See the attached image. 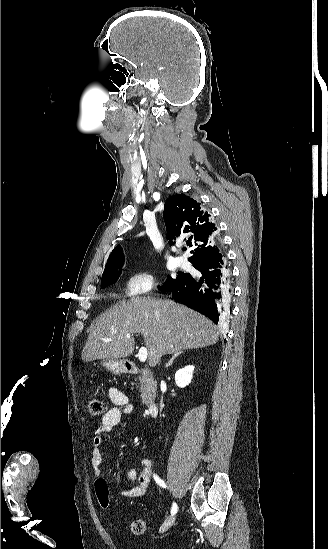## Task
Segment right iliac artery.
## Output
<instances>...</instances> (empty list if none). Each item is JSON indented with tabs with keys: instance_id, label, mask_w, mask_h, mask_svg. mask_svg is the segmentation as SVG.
<instances>
[{
	"instance_id": "82829eb1",
	"label": "right iliac artery",
	"mask_w": 328,
	"mask_h": 549,
	"mask_svg": "<svg viewBox=\"0 0 328 549\" xmlns=\"http://www.w3.org/2000/svg\"><path fill=\"white\" fill-rule=\"evenodd\" d=\"M154 479H155L156 483H158V484H159L160 486H162L163 488H166V484L164 483V481L161 480L157 475H154ZM177 509H178L177 504H176V503H173L172 509H171V514H172V515L176 514Z\"/></svg>"
}]
</instances>
